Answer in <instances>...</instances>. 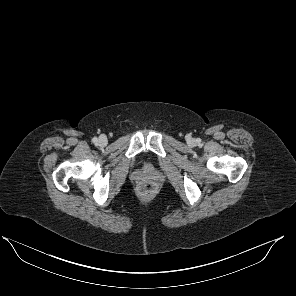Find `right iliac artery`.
<instances>
[{"mask_svg":"<svg viewBox=\"0 0 296 296\" xmlns=\"http://www.w3.org/2000/svg\"><path fill=\"white\" fill-rule=\"evenodd\" d=\"M92 142H93V143H97V142H98V139H97L96 137H94V138L92 139Z\"/></svg>","mask_w":296,"mask_h":296,"instance_id":"right-iliac-artery-1","label":"right iliac artery"}]
</instances>
